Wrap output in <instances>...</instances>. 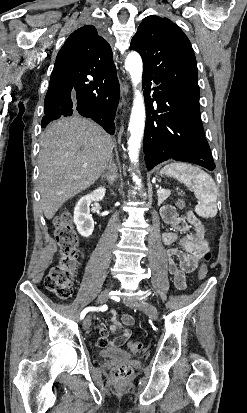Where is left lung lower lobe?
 Returning <instances> with one entry per match:
<instances>
[{"instance_id": "left-lung-lower-lobe-1", "label": "left lung lower lobe", "mask_w": 247, "mask_h": 413, "mask_svg": "<svg viewBox=\"0 0 247 413\" xmlns=\"http://www.w3.org/2000/svg\"><path fill=\"white\" fill-rule=\"evenodd\" d=\"M153 82L158 86L151 89ZM143 87L147 114L143 150L147 169L173 159L214 170L215 163L201 122L199 99L161 83L146 72H143ZM151 91H154L153 98L149 96Z\"/></svg>"}]
</instances>
